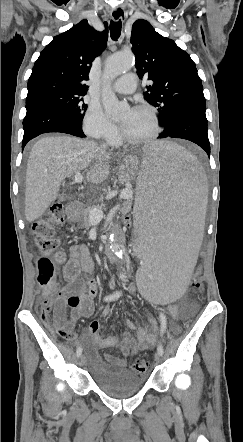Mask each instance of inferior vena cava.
<instances>
[{
    "label": "inferior vena cava",
    "instance_id": "1",
    "mask_svg": "<svg viewBox=\"0 0 243 442\" xmlns=\"http://www.w3.org/2000/svg\"><path fill=\"white\" fill-rule=\"evenodd\" d=\"M101 147H102V148H105L106 146L103 144Z\"/></svg>",
    "mask_w": 243,
    "mask_h": 442
}]
</instances>
